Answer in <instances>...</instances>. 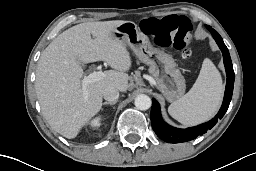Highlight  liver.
Segmentation results:
<instances>
[{
    "label": "liver",
    "mask_w": 256,
    "mask_h": 171,
    "mask_svg": "<svg viewBox=\"0 0 256 171\" xmlns=\"http://www.w3.org/2000/svg\"><path fill=\"white\" fill-rule=\"evenodd\" d=\"M125 21L87 22L59 34L42 52L36 70L35 89L50 127L63 137L75 138L101 109L103 91L128 89L131 58L126 45L112 35ZM91 35L94 37L92 38ZM104 61L113 69L106 77L86 86L83 95L81 63Z\"/></svg>",
    "instance_id": "obj_1"
}]
</instances>
